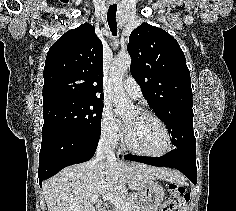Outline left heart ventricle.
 Listing matches in <instances>:
<instances>
[{
	"mask_svg": "<svg viewBox=\"0 0 236 211\" xmlns=\"http://www.w3.org/2000/svg\"><path fill=\"white\" fill-rule=\"evenodd\" d=\"M130 143L138 150L159 153L166 146V136L162 127L151 118L132 111L124 118Z\"/></svg>",
	"mask_w": 236,
	"mask_h": 211,
	"instance_id": "left-heart-ventricle-1",
	"label": "left heart ventricle"
}]
</instances>
